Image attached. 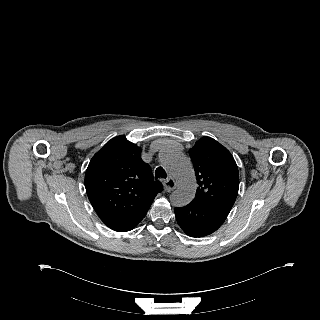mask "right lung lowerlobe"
Instances as JSON below:
<instances>
[{
	"instance_id": "1",
	"label": "right lung lower lobe",
	"mask_w": 320,
	"mask_h": 320,
	"mask_svg": "<svg viewBox=\"0 0 320 320\" xmlns=\"http://www.w3.org/2000/svg\"><path fill=\"white\" fill-rule=\"evenodd\" d=\"M147 211H142L126 218L107 221L105 224L114 231H129L132 230L145 217Z\"/></svg>"
}]
</instances>
